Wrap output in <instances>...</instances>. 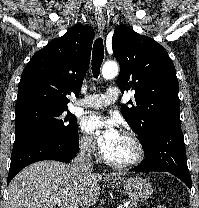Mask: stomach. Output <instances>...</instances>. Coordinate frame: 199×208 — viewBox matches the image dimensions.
Returning a JSON list of instances; mask_svg holds the SVG:
<instances>
[{
	"mask_svg": "<svg viewBox=\"0 0 199 208\" xmlns=\"http://www.w3.org/2000/svg\"><path fill=\"white\" fill-rule=\"evenodd\" d=\"M121 185L125 193L133 201H145L152 194L151 184L147 180L139 177L126 179Z\"/></svg>",
	"mask_w": 199,
	"mask_h": 208,
	"instance_id": "0dacf381",
	"label": "stomach"
}]
</instances>
